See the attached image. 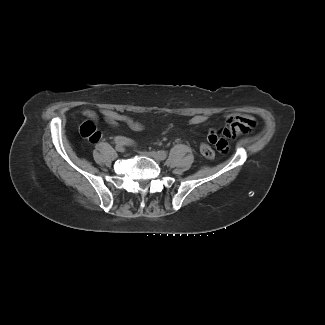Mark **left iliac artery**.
<instances>
[{"instance_id":"44dca946","label":"left iliac artery","mask_w":325,"mask_h":325,"mask_svg":"<svg viewBox=\"0 0 325 325\" xmlns=\"http://www.w3.org/2000/svg\"><path fill=\"white\" fill-rule=\"evenodd\" d=\"M160 160H164L167 157V153L165 151H158Z\"/></svg>"}]
</instances>
